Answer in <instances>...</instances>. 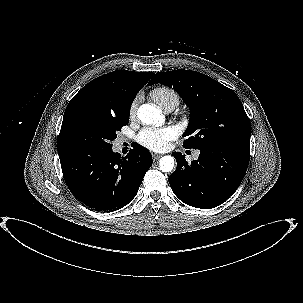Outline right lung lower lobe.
<instances>
[{
	"label": "right lung lower lobe",
	"instance_id": "1",
	"mask_svg": "<svg viewBox=\"0 0 303 303\" xmlns=\"http://www.w3.org/2000/svg\"><path fill=\"white\" fill-rule=\"evenodd\" d=\"M152 162L151 153L139 145L125 157L111 148L60 158L71 193L96 211H116L130 203Z\"/></svg>",
	"mask_w": 303,
	"mask_h": 303
}]
</instances>
